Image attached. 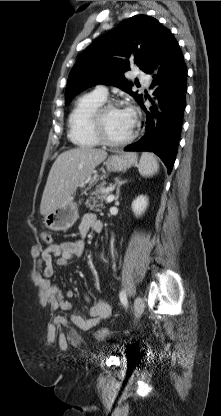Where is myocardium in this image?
<instances>
[{
  "mask_svg": "<svg viewBox=\"0 0 221 416\" xmlns=\"http://www.w3.org/2000/svg\"><path fill=\"white\" fill-rule=\"evenodd\" d=\"M116 108H121V104L119 102L105 101L95 109L91 120V128L93 134L101 144L109 147H121L130 143L136 136L139 124L137 117L133 115V128L129 136L120 141H114L110 139L107 136L104 128V115L108 110Z\"/></svg>",
  "mask_w": 221,
  "mask_h": 416,
  "instance_id": "f54148a6",
  "label": "myocardium"
}]
</instances>
